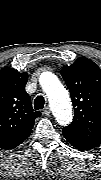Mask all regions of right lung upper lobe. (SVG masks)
I'll use <instances>...</instances> for the list:
<instances>
[{"label": "right lung upper lobe", "mask_w": 101, "mask_h": 180, "mask_svg": "<svg viewBox=\"0 0 101 180\" xmlns=\"http://www.w3.org/2000/svg\"><path fill=\"white\" fill-rule=\"evenodd\" d=\"M28 73L6 67L0 70V147L13 149L26 140L34 120L40 116L34 111L30 96L24 87Z\"/></svg>", "instance_id": "cb5924a9"}]
</instances>
